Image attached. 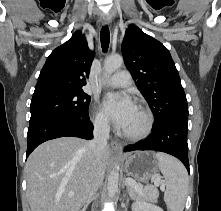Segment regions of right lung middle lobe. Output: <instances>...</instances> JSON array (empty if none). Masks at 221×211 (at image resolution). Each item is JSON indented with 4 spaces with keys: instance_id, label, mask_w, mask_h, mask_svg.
Returning <instances> with one entry per match:
<instances>
[{
    "instance_id": "1",
    "label": "right lung middle lobe",
    "mask_w": 221,
    "mask_h": 211,
    "mask_svg": "<svg viewBox=\"0 0 221 211\" xmlns=\"http://www.w3.org/2000/svg\"><path fill=\"white\" fill-rule=\"evenodd\" d=\"M90 97L77 89H46L35 91L31 100L30 121L46 115L84 116Z\"/></svg>"
}]
</instances>
